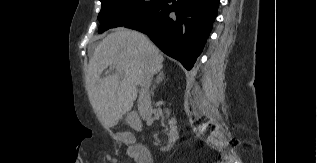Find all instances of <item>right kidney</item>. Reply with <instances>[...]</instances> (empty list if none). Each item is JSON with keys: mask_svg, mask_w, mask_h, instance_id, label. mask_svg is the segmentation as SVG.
I'll return each instance as SVG.
<instances>
[{"mask_svg": "<svg viewBox=\"0 0 317 163\" xmlns=\"http://www.w3.org/2000/svg\"><path fill=\"white\" fill-rule=\"evenodd\" d=\"M176 119L172 118L171 120H169V125H170V139H169V145L165 148H162V151H168L170 150L174 143L177 141V139L179 138V133L177 131V126H176Z\"/></svg>", "mask_w": 317, "mask_h": 163, "instance_id": "obj_1", "label": "right kidney"}]
</instances>
